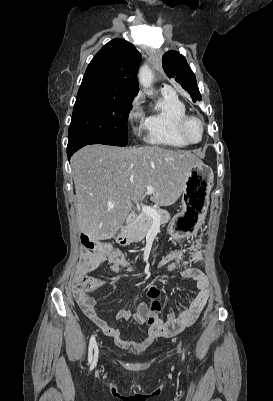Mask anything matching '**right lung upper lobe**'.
<instances>
[{
    "instance_id": "cb5924a9",
    "label": "right lung upper lobe",
    "mask_w": 273,
    "mask_h": 401,
    "mask_svg": "<svg viewBox=\"0 0 273 401\" xmlns=\"http://www.w3.org/2000/svg\"><path fill=\"white\" fill-rule=\"evenodd\" d=\"M141 60L134 45L113 39L95 55L84 74L77 97L94 96L133 101L138 93Z\"/></svg>"
}]
</instances>
